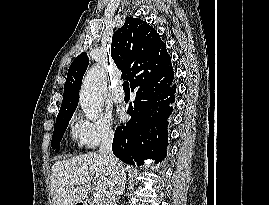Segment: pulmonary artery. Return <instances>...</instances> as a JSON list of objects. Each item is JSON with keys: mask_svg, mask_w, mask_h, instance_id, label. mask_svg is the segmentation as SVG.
Wrapping results in <instances>:
<instances>
[{"mask_svg": "<svg viewBox=\"0 0 269 205\" xmlns=\"http://www.w3.org/2000/svg\"><path fill=\"white\" fill-rule=\"evenodd\" d=\"M112 98L115 102L121 103L125 99L124 91L122 86H118L112 94Z\"/></svg>", "mask_w": 269, "mask_h": 205, "instance_id": "pulmonary-artery-1", "label": "pulmonary artery"}]
</instances>
